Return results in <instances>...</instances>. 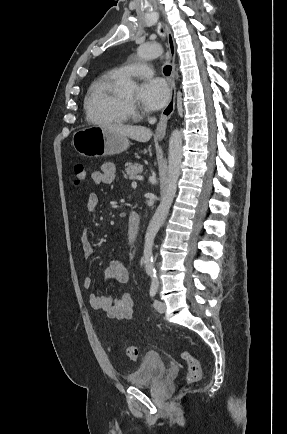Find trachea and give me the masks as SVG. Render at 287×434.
<instances>
[{"label":"trachea","mask_w":287,"mask_h":434,"mask_svg":"<svg viewBox=\"0 0 287 434\" xmlns=\"http://www.w3.org/2000/svg\"><path fill=\"white\" fill-rule=\"evenodd\" d=\"M171 70H172V67L170 66V65H167V66H165L164 67V74L166 75V76H169L170 75V73H171Z\"/></svg>","instance_id":"1"}]
</instances>
